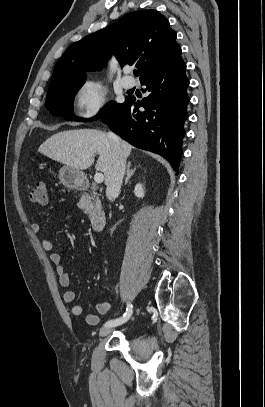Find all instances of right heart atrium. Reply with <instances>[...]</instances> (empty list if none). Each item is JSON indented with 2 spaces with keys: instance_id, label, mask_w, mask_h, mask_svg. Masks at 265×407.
<instances>
[{
  "instance_id": "obj_1",
  "label": "right heart atrium",
  "mask_w": 265,
  "mask_h": 407,
  "mask_svg": "<svg viewBox=\"0 0 265 407\" xmlns=\"http://www.w3.org/2000/svg\"><path fill=\"white\" fill-rule=\"evenodd\" d=\"M106 104V90L98 82L86 81L75 92V112L80 121L90 122L98 119L105 112Z\"/></svg>"
}]
</instances>
